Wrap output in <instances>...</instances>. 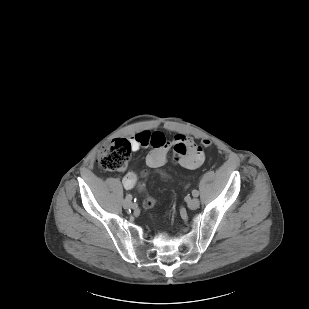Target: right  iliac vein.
Segmentation results:
<instances>
[{
	"label": "right iliac vein",
	"instance_id": "1",
	"mask_svg": "<svg viewBox=\"0 0 309 309\" xmlns=\"http://www.w3.org/2000/svg\"><path fill=\"white\" fill-rule=\"evenodd\" d=\"M123 206L125 208H134L135 207V204L132 202V199L131 200H128L127 198L123 201Z\"/></svg>",
	"mask_w": 309,
	"mask_h": 309
}]
</instances>
